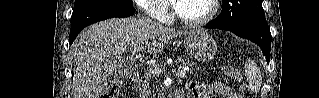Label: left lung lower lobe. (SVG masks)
<instances>
[{"instance_id": "0a47b994", "label": "left lung lower lobe", "mask_w": 319, "mask_h": 98, "mask_svg": "<svg viewBox=\"0 0 319 98\" xmlns=\"http://www.w3.org/2000/svg\"><path fill=\"white\" fill-rule=\"evenodd\" d=\"M206 28H216L231 31L239 37L248 39L262 49L263 54L266 56L267 62L270 61V47H271V33L268 25L260 24L249 27L234 28V27H216L210 23Z\"/></svg>"}]
</instances>
